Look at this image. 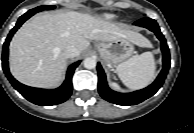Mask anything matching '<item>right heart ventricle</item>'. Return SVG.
Here are the masks:
<instances>
[{
  "label": "right heart ventricle",
  "mask_w": 194,
  "mask_h": 133,
  "mask_svg": "<svg viewBox=\"0 0 194 133\" xmlns=\"http://www.w3.org/2000/svg\"><path fill=\"white\" fill-rule=\"evenodd\" d=\"M115 16L113 14H106L105 15V18L108 19V20H111L113 19Z\"/></svg>",
  "instance_id": "obj_1"
}]
</instances>
